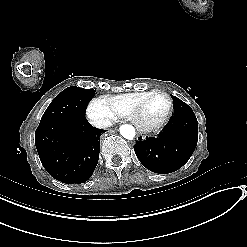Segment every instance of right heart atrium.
Wrapping results in <instances>:
<instances>
[{
    "mask_svg": "<svg viewBox=\"0 0 247 247\" xmlns=\"http://www.w3.org/2000/svg\"><path fill=\"white\" fill-rule=\"evenodd\" d=\"M87 116L94 125L106 126L112 122L114 113L103 99L93 98L87 106Z\"/></svg>",
    "mask_w": 247,
    "mask_h": 247,
    "instance_id": "d8ad5b80",
    "label": "right heart atrium"
}]
</instances>
